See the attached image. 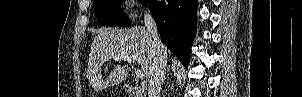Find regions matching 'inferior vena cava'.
<instances>
[{
  "label": "inferior vena cava",
  "mask_w": 302,
  "mask_h": 97,
  "mask_svg": "<svg viewBox=\"0 0 302 97\" xmlns=\"http://www.w3.org/2000/svg\"><path fill=\"white\" fill-rule=\"evenodd\" d=\"M144 23L152 48V64L148 78V97H160L161 83L167 62L166 49L159 37L155 20L150 12L144 13Z\"/></svg>",
  "instance_id": "1"
}]
</instances>
